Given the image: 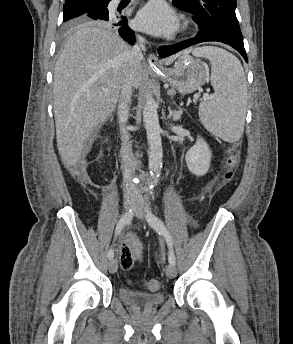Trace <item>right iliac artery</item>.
I'll return each instance as SVG.
<instances>
[{"label": "right iliac artery", "instance_id": "obj_1", "mask_svg": "<svg viewBox=\"0 0 293 344\" xmlns=\"http://www.w3.org/2000/svg\"><path fill=\"white\" fill-rule=\"evenodd\" d=\"M134 216V212L132 209L127 210L123 216L120 218L119 222L117 223L116 230H115V237L120 234L123 228L128 225ZM114 257V251L112 249L108 252V258L111 260Z\"/></svg>", "mask_w": 293, "mask_h": 344}]
</instances>
